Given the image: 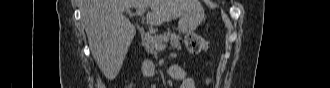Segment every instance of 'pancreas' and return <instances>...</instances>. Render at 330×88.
<instances>
[{
	"instance_id": "pancreas-1",
	"label": "pancreas",
	"mask_w": 330,
	"mask_h": 88,
	"mask_svg": "<svg viewBox=\"0 0 330 88\" xmlns=\"http://www.w3.org/2000/svg\"><path fill=\"white\" fill-rule=\"evenodd\" d=\"M155 42H170L172 48L178 50L181 49L180 36L174 32L171 33L169 30L167 32H164L163 34L154 35L153 40L149 36H146L143 39L142 44L145 46V49L148 53L156 55L158 53V50L155 48Z\"/></svg>"
}]
</instances>
